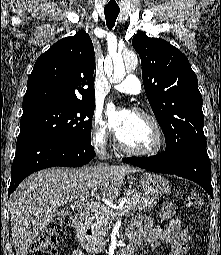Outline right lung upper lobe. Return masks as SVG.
<instances>
[{
  "label": "right lung upper lobe",
  "instance_id": "right-lung-upper-lobe-1",
  "mask_svg": "<svg viewBox=\"0 0 221 255\" xmlns=\"http://www.w3.org/2000/svg\"><path fill=\"white\" fill-rule=\"evenodd\" d=\"M94 55L92 41L84 30L53 44L36 60L28 78L23 110L94 103Z\"/></svg>",
  "mask_w": 221,
  "mask_h": 255
}]
</instances>
